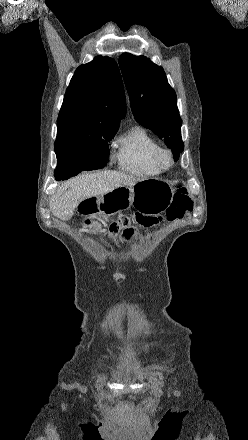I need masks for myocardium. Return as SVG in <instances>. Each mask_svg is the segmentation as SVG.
<instances>
[{
  "mask_svg": "<svg viewBox=\"0 0 248 440\" xmlns=\"http://www.w3.org/2000/svg\"><path fill=\"white\" fill-rule=\"evenodd\" d=\"M155 162L161 170L169 169L174 163L171 151L165 148H159L155 154Z\"/></svg>",
  "mask_w": 248,
  "mask_h": 440,
  "instance_id": "1",
  "label": "myocardium"
}]
</instances>
